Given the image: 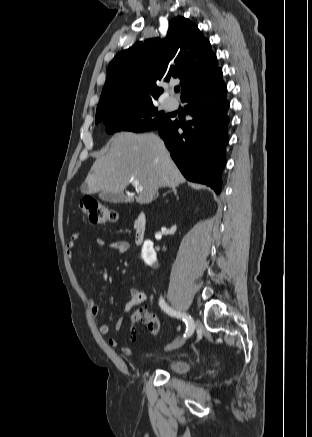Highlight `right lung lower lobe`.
<instances>
[{
    "label": "right lung lower lobe",
    "instance_id": "98d812e1",
    "mask_svg": "<svg viewBox=\"0 0 312 437\" xmlns=\"http://www.w3.org/2000/svg\"><path fill=\"white\" fill-rule=\"evenodd\" d=\"M226 85L222 72L211 81L187 93L182 101L191 120L171 121L159 128V135L184 177L221 191V173L226 163L227 137ZM182 128L180 134L178 129Z\"/></svg>",
    "mask_w": 312,
    "mask_h": 437
}]
</instances>
